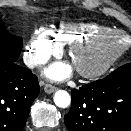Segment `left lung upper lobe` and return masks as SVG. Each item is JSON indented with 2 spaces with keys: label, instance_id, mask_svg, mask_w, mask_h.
<instances>
[{
  "label": "left lung upper lobe",
  "instance_id": "5c2ea615",
  "mask_svg": "<svg viewBox=\"0 0 131 131\" xmlns=\"http://www.w3.org/2000/svg\"><path fill=\"white\" fill-rule=\"evenodd\" d=\"M108 78H131V63L115 70Z\"/></svg>",
  "mask_w": 131,
  "mask_h": 131
}]
</instances>
